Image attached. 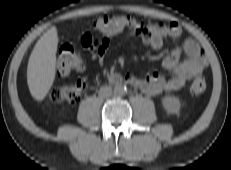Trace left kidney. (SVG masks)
I'll use <instances>...</instances> for the list:
<instances>
[{
	"label": "left kidney",
	"mask_w": 231,
	"mask_h": 170,
	"mask_svg": "<svg viewBox=\"0 0 231 170\" xmlns=\"http://www.w3.org/2000/svg\"><path fill=\"white\" fill-rule=\"evenodd\" d=\"M162 105L169 114H178L180 110V101L175 96H165L162 99Z\"/></svg>",
	"instance_id": "1"
}]
</instances>
